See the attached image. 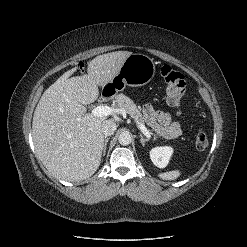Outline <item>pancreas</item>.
I'll use <instances>...</instances> for the list:
<instances>
[{"mask_svg": "<svg viewBox=\"0 0 247 247\" xmlns=\"http://www.w3.org/2000/svg\"><path fill=\"white\" fill-rule=\"evenodd\" d=\"M116 105L120 108H123L125 112H127L132 118L135 119L136 123L141 122L144 124V120L142 118V114L140 110L137 108L136 104L126 95L119 94L116 97ZM156 137L157 135L154 134Z\"/></svg>", "mask_w": 247, "mask_h": 247, "instance_id": "cf45deb5", "label": "pancreas"}]
</instances>
